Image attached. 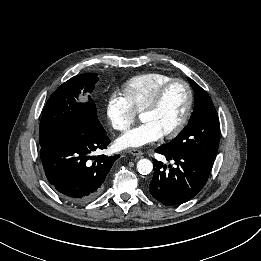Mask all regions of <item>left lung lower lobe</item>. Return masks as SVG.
Returning <instances> with one entry per match:
<instances>
[{"label": "left lung lower lobe", "mask_w": 261, "mask_h": 261, "mask_svg": "<svg viewBox=\"0 0 261 261\" xmlns=\"http://www.w3.org/2000/svg\"><path fill=\"white\" fill-rule=\"evenodd\" d=\"M156 152L174 160L176 166L166 170V165L154 159L151 195L166 206L180 205L197 195L208 180L212 164L183 150L160 146Z\"/></svg>", "instance_id": "obj_1"}]
</instances>
